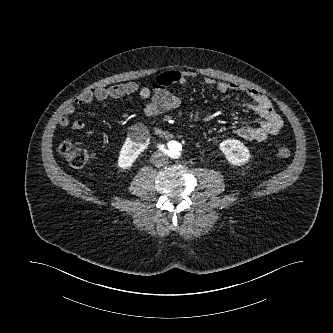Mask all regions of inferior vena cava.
<instances>
[{
  "label": "inferior vena cava",
  "mask_w": 333,
  "mask_h": 333,
  "mask_svg": "<svg viewBox=\"0 0 333 333\" xmlns=\"http://www.w3.org/2000/svg\"><path fill=\"white\" fill-rule=\"evenodd\" d=\"M168 161V156L162 152H155L151 156V162L156 165H163Z\"/></svg>",
  "instance_id": "1"
}]
</instances>
